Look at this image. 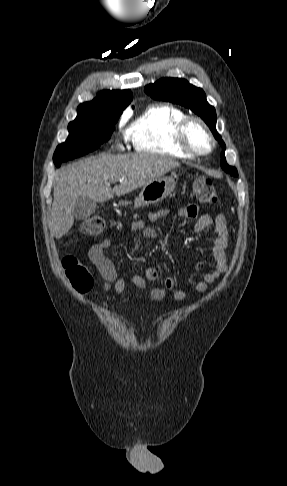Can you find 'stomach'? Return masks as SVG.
Here are the masks:
<instances>
[{
	"instance_id": "0dacf381",
	"label": "stomach",
	"mask_w": 287,
	"mask_h": 486,
	"mask_svg": "<svg viewBox=\"0 0 287 486\" xmlns=\"http://www.w3.org/2000/svg\"><path fill=\"white\" fill-rule=\"evenodd\" d=\"M176 182L171 177H161L144 185L135 198L134 207L140 208L164 200L175 189Z\"/></svg>"
}]
</instances>
